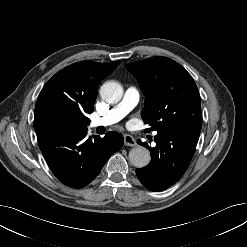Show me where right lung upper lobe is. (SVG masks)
<instances>
[{"label": "right lung upper lobe", "mask_w": 247, "mask_h": 247, "mask_svg": "<svg viewBox=\"0 0 247 247\" xmlns=\"http://www.w3.org/2000/svg\"><path fill=\"white\" fill-rule=\"evenodd\" d=\"M119 63L82 61L57 72L38 96L34 113L37 138L46 132V122L55 115L72 117L87 126V114L93 112L100 81L111 74Z\"/></svg>", "instance_id": "obj_1"}]
</instances>
